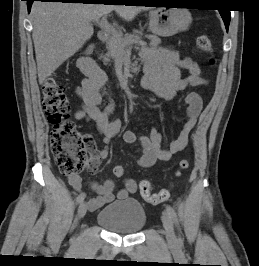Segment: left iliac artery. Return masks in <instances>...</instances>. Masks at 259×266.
<instances>
[{
	"label": "left iliac artery",
	"instance_id": "44dca946",
	"mask_svg": "<svg viewBox=\"0 0 259 266\" xmlns=\"http://www.w3.org/2000/svg\"><path fill=\"white\" fill-rule=\"evenodd\" d=\"M166 213L168 214V216L171 218V220L175 223V225L178 227V230L180 231L177 215H176V212L174 211V209L171 206L167 205L166 206ZM178 244L182 245V238H181L180 234L178 237Z\"/></svg>",
	"mask_w": 259,
	"mask_h": 266
}]
</instances>
